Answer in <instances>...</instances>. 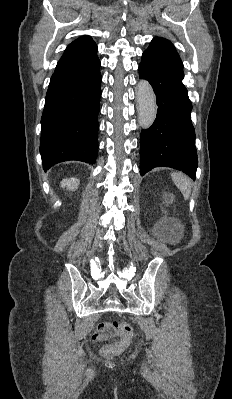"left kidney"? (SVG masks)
Listing matches in <instances>:
<instances>
[{"label": "left kidney", "mask_w": 232, "mask_h": 399, "mask_svg": "<svg viewBox=\"0 0 232 399\" xmlns=\"http://www.w3.org/2000/svg\"><path fill=\"white\" fill-rule=\"evenodd\" d=\"M170 227H172V225H170V223H166V229H170Z\"/></svg>", "instance_id": "5707ae66"}]
</instances>
